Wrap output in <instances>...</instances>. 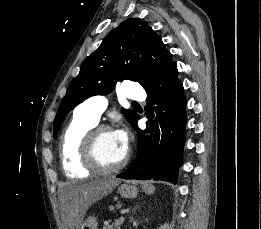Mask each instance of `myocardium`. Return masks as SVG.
<instances>
[{"label": "myocardium", "mask_w": 261, "mask_h": 229, "mask_svg": "<svg viewBox=\"0 0 261 229\" xmlns=\"http://www.w3.org/2000/svg\"><path fill=\"white\" fill-rule=\"evenodd\" d=\"M113 131L111 127L99 126L93 128L86 136L83 144V158L85 163L95 172L102 174H109L122 169L128 162V155L125 154L124 158L113 166H108L102 163L98 156V142L100 137L107 132Z\"/></svg>", "instance_id": "myocardium-1"}]
</instances>
